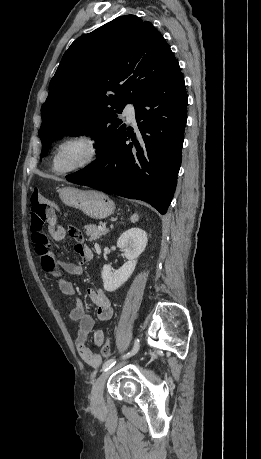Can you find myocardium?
I'll use <instances>...</instances> for the list:
<instances>
[{
    "mask_svg": "<svg viewBox=\"0 0 261 459\" xmlns=\"http://www.w3.org/2000/svg\"><path fill=\"white\" fill-rule=\"evenodd\" d=\"M70 143H79L83 145L85 148V154L82 160L76 163L75 165L64 170H59L54 166V159L59 150ZM99 156L100 145L98 140L94 136L88 133H73L62 137L53 145L49 154L48 165L52 173L59 176H66L90 167L97 161Z\"/></svg>",
    "mask_w": 261,
    "mask_h": 459,
    "instance_id": "1",
    "label": "myocardium"
}]
</instances>
